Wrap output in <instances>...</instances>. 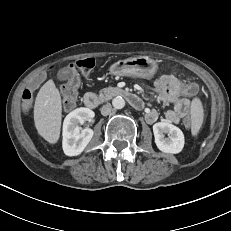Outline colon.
<instances>
[{
	"label": "colon",
	"mask_w": 231,
	"mask_h": 231,
	"mask_svg": "<svg viewBox=\"0 0 231 231\" xmlns=\"http://www.w3.org/2000/svg\"><path fill=\"white\" fill-rule=\"evenodd\" d=\"M72 67L76 68L81 74L87 75L89 74L93 68L95 67V59L94 58H83L80 60L75 61ZM50 75L49 70L44 69L37 77L36 80L32 81V83L28 84L27 89L23 94V102L25 104L29 103L32 98V92L36 91L39 87L43 86ZM178 92L185 93L187 97H195L197 87L195 83L189 82L186 84H179L178 85ZM78 90H79V81L77 79L71 80L64 84L61 87V95L62 101L65 108L70 109L72 108L77 101L78 97ZM185 125L189 126L191 121L190 119H186L184 121Z\"/></svg>",
	"instance_id": "colon-1"
}]
</instances>
